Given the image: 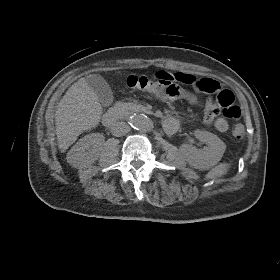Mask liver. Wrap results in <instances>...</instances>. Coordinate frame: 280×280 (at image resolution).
Instances as JSON below:
<instances>
[{
  "label": "liver",
  "instance_id": "liver-1",
  "mask_svg": "<svg viewBox=\"0 0 280 280\" xmlns=\"http://www.w3.org/2000/svg\"><path fill=\"white\" fill-rule=\"evenodd\" d=\"M101 114L102 106L98 96L86 78H81L68 89L56 111L59 148L65 151L81 133L96 127Z\"/></svg>",
  "mask_w": 280,
  "mask_h": 280
}]
</instances>
